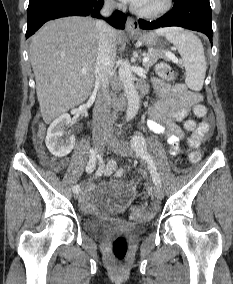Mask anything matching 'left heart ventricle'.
Listing matches in <instances>:
<instances>
[{"mask_svg": "<svg viewBox=\"0 0 233 284\" xmlns=\"http://www.w3.org/2000/svg\"><path fill=\"white\" fill-rule=\"evenodd\" d=\"M163 0H144L143 3L138 6L142 9H154L162 4Z\"/></svg>", "mask_w": 233, "mask_h": 284, "instance_id": "b2bd125f", "label": "left heart ventricle"}]
</instances>
